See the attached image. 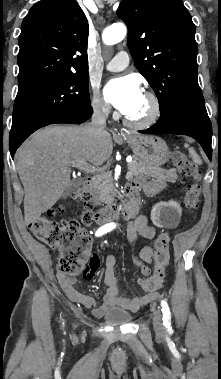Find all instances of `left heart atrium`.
<instances>
[{
    "label": "left heart atrium",
    "mask_w": 221,
    "mask_h": 379,
    "mask_svg": "<svg viewBox=\"0 0 221 379\" xmlns=\"http://www.w3.org/2000/svg\"><path fill=\"white\" fill-rule=\"evenodd\" d=\"M104 95L109 103L126 116L137 108L143 97L139 82L133 76L109 81L104 88Z\"/></svg>",
    "instance_id": "left-heart-atrium-1"
}]
</instances>
